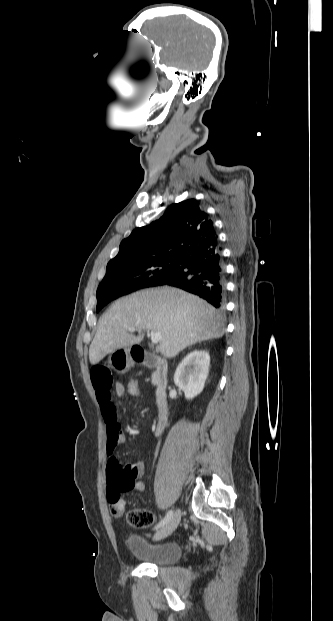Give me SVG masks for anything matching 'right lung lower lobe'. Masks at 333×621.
Returning a JSON list of instances; mask_svg holds the SVG:
<instances>
[{"instance_id": "1", "label": "right lung lower lobe", "mask_w": 333, "mask_h": 621, "mask_svg": "<svg viewBox=\"0 0 333 621\" xmlns=\"http://www.w3.org/2000/svg\"><path fill=\"white\" fill-rule=\"evenodd\" d=\"M160 285L181 288L222 309L226 294L225 266L218 242L185 255L178 271Z\"/></svg>"}]
</instances>
